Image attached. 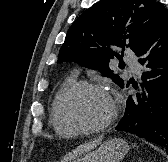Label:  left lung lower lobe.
<instances>
[{
	"label": "left lung lower lobe",
	"mask_w": 168,
	"mask_h": 162,
	"mask_svg": "<svg viewBox=\"0 0 168 162\" xmlns=\"http://www.w3.org/2000/svg\"><path fill=\"white\" fill-rule=\"evenodd\" d=\"M135 54L145 67L143 83L135 96L128 97L116 130L135 134L168 150V14Z\"/></svg>",
	"instance_id": "1"
}]
</instances>
